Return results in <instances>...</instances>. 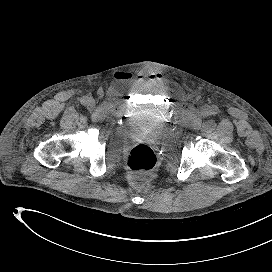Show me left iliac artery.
Instances as JSON below:
<instances>
[{
	"label": "left iliac artery",
	"mask_w": 272,
	"mask_h": 272,
	"mask_svg": "<svg viewBox=\"0 0 272 272\" xmlns=\"http://www.w3.org/2000/svg\"><path fill=\"white\" fill-rule=\"evenodd\" d=\"M218 112H219V110H218L217 107H213V108H212L211 113H212L213 115H216Z\"/></svg>",
	"instance_id": "obj_1"
}]
</instances>
